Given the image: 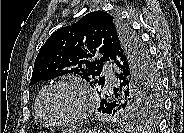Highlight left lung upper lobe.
I'll use <instances>...</instances> for the list:
<instances>
[{"mask_svg": "<svg viewBox=\"0 0 184 133\" xmlns=\"http://www.w3.org/2000/svg\"><path fill=\"white\" fill-rule=\"evenodd\" d=\"M110 60L123 70L126 80L117 97L107 100L115 101V116L127 121L155 119L161 104L155 64L138 36L116 14L94 11L55 31L36 57L30 85L74 73L97 93L105 91L100 73L103 62Z\"/></svg>", "mask_w": 184, "mask_h": 133, "instance_id": "1", "label": "left lung upper lobe"}]
</instances>
